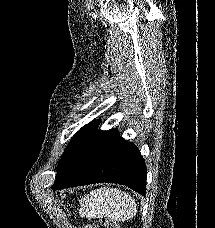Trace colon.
<instances>
[{
	"mask_svg": "<svg viewBox=\"0 0 215 228\" xmlns=\"http://www.w3.org/2000/svg\"><path fill=\"white\" fill-rule=\"evenodd\" d=\"M85 228H119L114 220L104 219L99 221L96 225H85Z\"/></svg>",
	"mask_w": 215,
	"mask_h": 228,
	"instance_id": "obj_1",
	"label": "colon"
}]
</instances>
